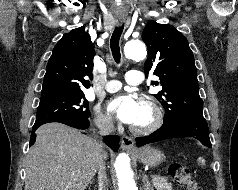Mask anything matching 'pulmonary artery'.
Returning a JSON list of instances; mask_svg holds the SVG:
<instances>
[{"label": "pulmonary artery", "instance_id": "1", "mask_svg": "<svg viewBox=\"0 0 238 190\" xmlns=\"http://www.w3.org/2000/svg\"><path fill=\"white\" fill-rule=\"evenodd\" d=\"M143 81V75L138 70H130L126 73V82L129 85H140ZM122 87L120 81L110 80L105 84V89L108 92H116Z\"/></svg>", "mask_w": 238, "mask_h": 190}]
</instances>
